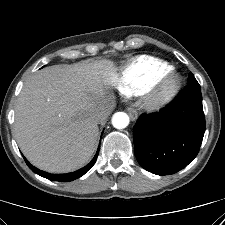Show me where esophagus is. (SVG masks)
I'll use <instances>...</instances> for the list:
<instances>
[{
    "instance_id": "obj_1",
    "label": "esophagus",
    "mask_w": 225,
    "mask_h": 225,
    "mask_svg": "<svg viewBox=\"0 0 225 225\" xmlns=\"http://www.w3.org/2000/svg\"><path fill=\"white\" fill-rule=\"evenodd\" d=\"M127 112H128L130 118H131L133 121L137 119L138 113H137L136 109H134V108H132V107H129V108L127 109Z\"/></svg>"
}]
</instances>
